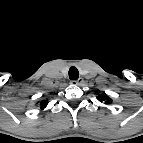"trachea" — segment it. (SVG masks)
<instances>
[{"label": "trachea", "instance_id": "3493384b", "mask_svg": "<svg viewBox=\"0 0 143 143\" xmlns=\"http://www.w3.org/2000/svg\"><path fill=\"white\" fill-rule=\"evenodd\" d=\"M69 78L70 80H77L79 78V71L76 67H71L69 69Z\"/></svg>", "mask_w": 143, "mask_h": 143}]
</instances>
